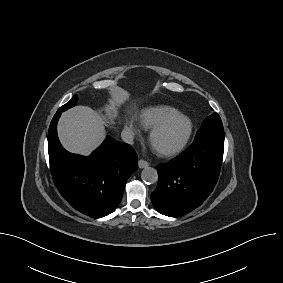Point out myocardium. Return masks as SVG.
<instances>
[{"mask_svg": "<svg viewBox=\"0 0 283 283\" xmlns=\"http://www.w3.org/2000/svg\"><path fill=\"white\" fill-rule=\"evenodd\" d=\"M175 119H183L187 122V130L185 132L184 137L173 147L169 148V149H165V150H157L158 153L163 156V157H172L175 156L179 153H181L184 148L186 147V145L188 144L192 133H193V122L192 119L183 113L177 112L174 113L172 115H169L167 117H165L164 119H162L160 122H158L156 125H154L149 133V141L152 143L155 135L161 131L168 123H170L171 121L175 120Z\"/></svg>", "mask_w": 283, "mask_h": 283, "instance_id": "f54148a6", "label": "myocardium"}]
</instances>
